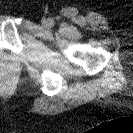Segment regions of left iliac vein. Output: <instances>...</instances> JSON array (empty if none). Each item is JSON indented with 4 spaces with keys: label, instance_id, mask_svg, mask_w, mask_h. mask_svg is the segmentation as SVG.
<instances>
[{
    "label": "left iliac vein",
    "instance_id": "4c4485c4",
    "mask_svg": "<svg viewBox=\"0 0 133 133\" xmlns=\"http://www.w3.org/2000/svg\"><path fill=\"white\" fill-rule=\"evenodd\" d=\"M42 23H43L44 26H49V24H50V22H49L48 19H44V20L42 21Z\"/></svg>",
    "mask_w": 133,
    "mask_h": 133
}]
</instances>
